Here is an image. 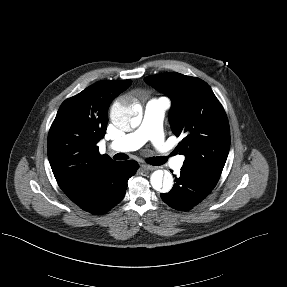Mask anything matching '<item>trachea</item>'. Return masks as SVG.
Returning a JSON list of instances; mask_svg holds the SVG:
<instances>
[{
	"label": "trachea",
	"mask_w": 287,
	"mask_h": 287,
	"mask_svg": "<svg viewBox=\"0 0 287 287\" xmlns=\"http://www.w3.org/2000/svg\"><path fill=\"white\" fill-rule=\"evenodd\" d=\"M115 160H126L128 159V156L124 153H117L116 155H114L113 157ZM147 163L151 164V165H154V166H160V165H163L167 160L165 157H151V158H148L147 160Z\"/></svg>",
	"instance_id": "trachea-1"
}]
</instances>
